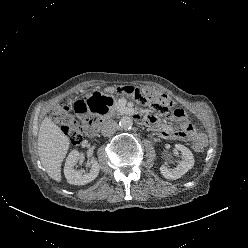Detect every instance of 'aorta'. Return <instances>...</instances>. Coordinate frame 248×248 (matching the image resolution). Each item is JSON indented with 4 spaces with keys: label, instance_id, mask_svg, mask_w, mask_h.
I'll return each instance as SVG.
<instances>
[{
    "label": "aorta",
    "instance_id": "aorta-1",
    "mask_svg": "<svg viewBox=\"0 0 248 248\" xmlns=\"http://www.w3.org/2000/svg\"><path fill=\"white\" fill-rule=\"evenodd\" d=\"M119 126L123 130H129L133 126V120L130 117L124 116L119 121Z\"/></svg>",
    "mask_w": 248,
    "mask_h": 248
}]
</instances>
